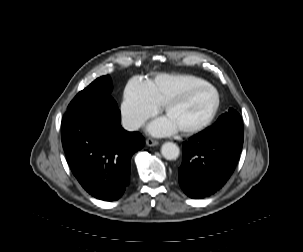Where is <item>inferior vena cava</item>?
Wrapping results in <instances>:
<instances>
[{"instance_id":"inferior-vena-cava-1","label":"inferior vena cava","mask_w":303,"mask_h":252,"mask_svg":"<svg viewBox=\"0 0 303 252\" xmlns=\"http://www.w3.org/2000/svg\"><path fill=\"white\" fill-rule=\"evenodd\" d=\"M143 124V121L132 118V117H123L122 118V126L127 131H135L138 130Z\"/></svg>"}]
</instances>
